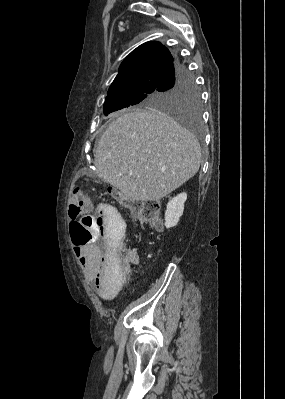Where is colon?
<instances>
[{"label": "colon", "instance_id": "1", "mask_svg": "<svg viewBox=\"0 0 285 399\" xmlns=\"http://www.w3.org/2000/svg\"><path fill=\"white\" fill-rule=\"evenodd\" d=\"M123 206L131 215L136 216L141 221L148 222L155 228L162 227L161 209L157 200L149 199L142 203L125 200ZM89 207L90 201L87 192L79 186L74 187L69 204V212L72 215L69 229L72 241L76 244H85L97 240L95 232L87 229L92 221ZM81 233L84 234L83 237H81ZM111 250L114 252L115 247H111ZM112 255L117 261L116 267L121 276L129 275L134 260L133 253L125 248H120L118 253Z\"/></svg>", "mask_w": 285, "mask_h": 399}]
</instances>
